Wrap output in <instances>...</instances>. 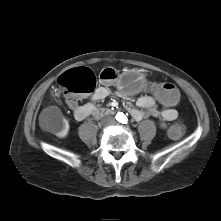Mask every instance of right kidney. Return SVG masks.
Masks as SVG:
<instances>
[{
    "mask_svg": "<svg viewBox=\"0 0 221 221\" xmlns=\"http://www.w3.org/2000/svg\"><path fill=\"white\" fill-rule=\"evenodd\" d=\"M51 132L59 138H65L69 132V122L65 118L58 119L51 127Z\"/></svg>",
    "mask_w": 221,
    "mask_h": 221,
    "instance_id": "obj_1",
    "label": "right kidney"
}]
</instances>
